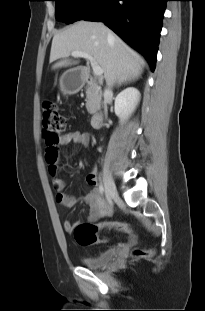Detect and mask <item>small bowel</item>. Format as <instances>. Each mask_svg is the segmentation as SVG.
Masks as SVG:
<instances>
[{"instance_id": "small-bowel-1", "label": "small bowel", "mask_w": 205, "mask_h": 311, "mask_svg": "<svg viewBox=\"0 0 205 311\" xmlns=\"http://www.w3.org/2000/svg\"><path fill=\"white\" fill-rule=\"evenodd\" d=\"M91 140L90 134L80 131H72L64 135L58 143V146H66L69 144H81L88 146ZM56 164L50 165V172L54 176L53 187L56 191V200L65 207L71 208L77 203V199L67 194L65 182L56 176ZM87 183L93 186L91 192L84 198L85 202L90 208L89 220L94 221L104 216L108 211L107 202L100 197L97 186V173L96 170H91L86 176ZM78 223L65 221L63 226L66 232L71 233Z\"/></svg>"}]
</instances>
